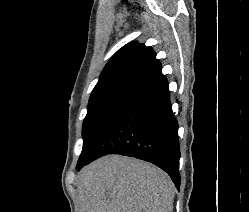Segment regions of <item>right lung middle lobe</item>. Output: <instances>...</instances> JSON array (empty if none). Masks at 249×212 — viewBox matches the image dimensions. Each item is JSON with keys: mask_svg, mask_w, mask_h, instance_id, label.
Listing matches in <instances>:
<instances>
[{"mask_svg": "<svg viewBox=\"0 0 249 212\" xmlns=\"http://www.w3.org/2000/svg\"><path fill=\"white\" fill-rule=\"evenodd\" d=\"M139 95L128 92L105 94L89 100L83 122V148L76 167L88 157L96 142L112 121Z\"/></svg>", "mask_w": 249, "mask_h": 212, "instance_id": "1", "label": "right lung middle lobe"}]
</instances>
